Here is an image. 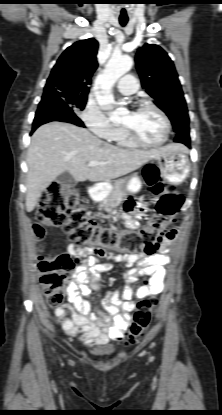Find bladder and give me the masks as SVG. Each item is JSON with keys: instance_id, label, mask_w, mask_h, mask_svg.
<instances>
[{"instance_id": "obj_1", "label": "bladder", "mask_w": 222, "mask_h": 415, "mask_svg": "<svg viewBox=\"0 0 222 415\" xmlns=\"http://www.w3.org/2000/svg\"><path fill=\"white\" fill-rule=\"evenodd\" d=\"M117 349L115 346L108 345L98 347L92 350V353L97 356H112L116 353Z\"/></svg>"}]
</instances>
